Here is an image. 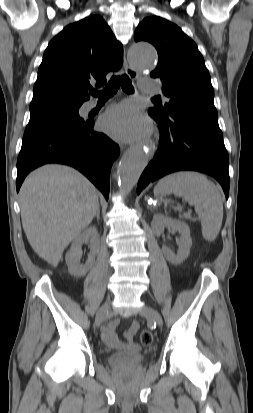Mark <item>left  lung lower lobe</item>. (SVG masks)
I'll return each mask as SVG.
<instances>
[{"label":"left lung lower lobe","mask_w":253,"mask_h":413,"mask_svg":"<svg viewBox=\"0 0 253 413\" xmlns=\"http://www.w3.org/2000/svg\"><path fill=\"white\" fill-rule=\"evenodd\" d=\"M153 118L160 126L159 151L142 173L137 193L169 173L194 170L217 179L228 198L229 157L218 118L186 113L168 120Z\"/></svg>","instance_id":"1"}]
</instances>
